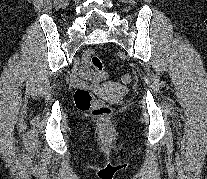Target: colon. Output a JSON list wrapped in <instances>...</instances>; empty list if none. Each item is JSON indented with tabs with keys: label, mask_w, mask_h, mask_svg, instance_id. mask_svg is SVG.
I'll use <instances>...</instances> for the list:
<instances>
[{
	"label": "colon",
	"mask_w": 207,
	"mask_h": 179,
	"mask_svg": "<svg viewBox=\"0 0 207 179\" xmlns=\"http://www.w3.org/2000/svg\"><path fill=\"white\" fill-rule=\"evenodd\" d=\"M90 62L100 79H105L107 74L101 60L96 55H92ZM121 81L123 84H130L132 75L130 73L124 74L121 77ZM74 100L79 110L90 112L96 118L107 119L112 115L111 108L103 102L96 100L92 92L87 88H78L75 91Z\"/></svg>",
	"instance_id": "1"
}]
</instances>
